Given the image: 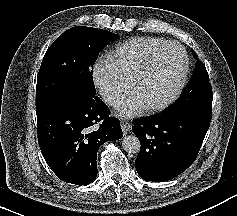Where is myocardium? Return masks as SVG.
I'll use <instances>...</instances> for the list:
<instances>
[{"instance_id": "f54148a6", "label": "myocardium", "mask_w": 237, "mask_h": 216, "mask_svg": "<svg viewBox=\"0 0 237 216\" xmlns=\"http://www.w3.org/2000/svg\"><path fill=\"white\" fill-rule=\"evenodd\" d=\"M172 62H181L180 72L177 78L175 85L172 89L167 93V95L157 101H149L144 99H139L136 96L137 87L139 80L143 74L152 73L157 70L159 67L167 63ZM187 64H188V56L186 52H179L178 53H170L166 55L159 56L157 59L149 62L147 65L140 66V73L135 77L133 84L130 89L129 94V101L132 103L133 108L135 110L148 108V109H155L163 106L168 101L172 100L184 87L185 80H186V71H187Z\"/></svg>"}]
</instances>
